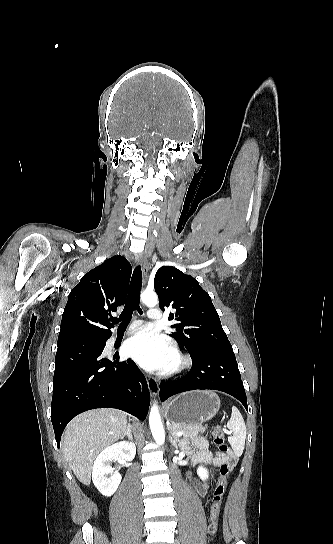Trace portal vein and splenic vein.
<instances>
[{
  "instance_id": "18ae733b",
  "label": "portal vein and splenic vein",
  "mask_w": 333,
  "mask_h": 544,
  "mask_svg": "<svg viewBox=\"0 0 333 544\" xmlns=\"http://www.w3.org/2000/svg\"><path fill=\"white\" fill-rule=\"evenodd\" d=\"M224 432H226L227 434H231V432H229V431H225V430H224ZM182 435H183L182 432H178V433H177V436H179V437L182 436Z\"/></svg>"
}]
</instances>
